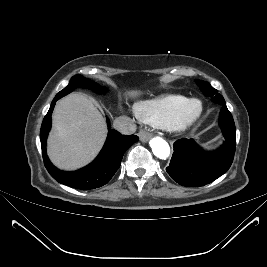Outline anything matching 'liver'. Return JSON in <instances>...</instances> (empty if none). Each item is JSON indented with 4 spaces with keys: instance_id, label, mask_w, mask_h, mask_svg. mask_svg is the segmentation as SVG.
<instances>
[{
    "instance_id": "6515ba94",
    "label": "liver",
    "mask_w": 267,
    "mask_h": 267,
    "mask_svg": "<svg viewBox=\"0 0 267 267\" xmlns=\"http://www.w3.org/2000/svg\"><path fill=\"white\" fill-rule=\"evenodd\" d=\"M138 93L131 92L132 96ZM48 155L59 168L73 170L89 163L107 136L106 121L92 100L79 93L60 99L52 115Z\"/></svg>"
}]
</instances>
